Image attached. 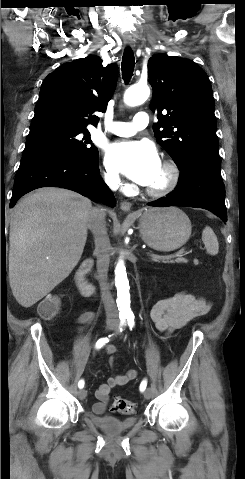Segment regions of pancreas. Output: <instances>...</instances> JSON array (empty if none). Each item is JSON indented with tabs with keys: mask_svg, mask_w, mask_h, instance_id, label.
Masks as SVG:
<instances>
[{
	"mask_svg": "<svg viewBox=\"0 0 245 479\" xmlns=\"http://www.w3.org/2000/svg\"><path fill=\"white\" fill-rule=\"evenodd\" d=\"M152 261L154 262H163V263H187L188 260L186 258H176L175 260L173 259H155V258H152Z\"/></svg>",
	"mask_w": 245,
	"mask_h": 479,
	"instance_id": "cf45deb5",
	"label": "pancreas"
}]
</instances>
